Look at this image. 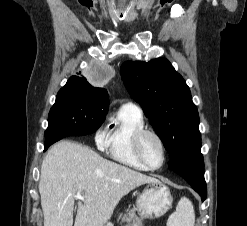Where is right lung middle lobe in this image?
Listing matches in <instances>:
<instances>
[{"label": "right lung middle lobe", "instance_id": "1", "mask_svg": "<svg viewBox=\"0 0 247 226\" xmlns=\"http://www.w3.org/2000/svg\"><path fill=\"white\" fill-rule=\"evenodd\" d=\"M107 111L104 102L97 97L64 86L49 112L45 137L60 140L93 133L104 122Z\"/></svg>", "mask_w": 247, "mask_h": 226}]
</instances>
